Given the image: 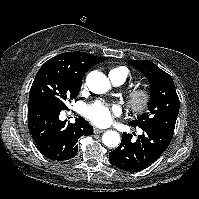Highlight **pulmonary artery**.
Wrapping results in <instances>:
<instances>
[{"label":"pulmonary artery","instance_id":"e3ab8cb5","mask_svg":"<svg viewBox=\"0 0 199 199\" xmlns=\"http://www.w3.org/2000/svg\"><path fill=\"white\" fill-rule=\"evenodd\" d=\"M109 77H110V79H111V81H112V83H113L114 85L119 86V85H122V84H123L122 78L119 77V76H117L115 73H110V74H109Z\"/></svg>","mask_w":199,"mask_h":199}]
</instances>
